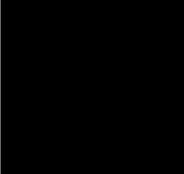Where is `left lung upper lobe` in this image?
<instances>
[{"label":"left lung upper lobe","mask_w":184,"mask_h":174,"mask_svg":"<svg viewBox=\"0 0 184 174\" xmlns=\"http://www.w3.org/2000/svg\"><path fill=\"white\" fill-rule=\"evenodd\" d=\"M114 73L121 94L130 104L129 119L143 127L163 130L172 108L165 80L134 53L118 56Z\"/></svg>","instance_id":"left-lung-upper-lobe-1"}]
</instances>
